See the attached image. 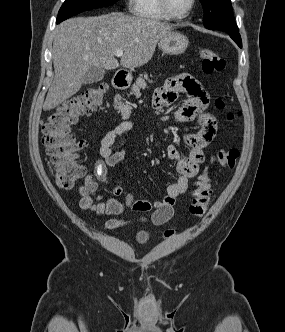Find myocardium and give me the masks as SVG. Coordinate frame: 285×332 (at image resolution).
Segmentation results:
<instances>
[{
	"label": "myocardium",
	"mask_w": 285,
	"mask_h": 332,
	"mask_svg": "<svg viewBox=\"0 0 285 332\" xmlns=\"http://www.w3.org/2000/svg\"><path fill=\"white\" fill-rule=\"evenodd\" d=\"M159 2H160V6H161L163 12L170 19H173V20H183V19L187 18L192 13V11L194 10V8L196 6V0H191L190 6H189L188 10L185 13L176 14L171 9L169 0H159Z\"/></svg>",
	"instance_id": "obj_1"
}]
</instances>
